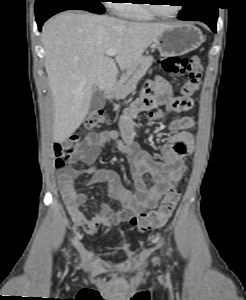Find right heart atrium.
I'll return each instance as SVG.
<instances>
[{"instance_id":"1","label":"right heart atrium","mask_w":246,"mask_h":300,"mask_svg":"<svg viewBox=\"0 0 246 300\" xmlns=\"http://www.w3.org/2000/svg\"><path fill=\"white\" fill-rule=\"evenodd\" d=\"M108 1H109L108 6L110 8H112L113 10H115L116 6L119 4V3H117L119 0H108Z\"/></svg>"}]
</instances>
